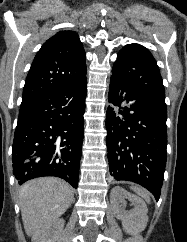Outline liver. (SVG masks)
I'll list each match as a JSON object with an SVG mask.
<instances>
[{"label": "liver", "mask_w": 187, "mask_h": 242, "mask_svg": "<svg viewBox=\"0 0 187 242\" xmlns=\"http://www.w3.org/2000/svg\"><path fill=\"white\" fill-rule=\"evenodd\" d=\"M73 198L72 187L53 177L33 179L20 187L22 221L32 242L38 232L66 212Z\"/></svg>", "instance_id": "obj_1"}]
</instances>
